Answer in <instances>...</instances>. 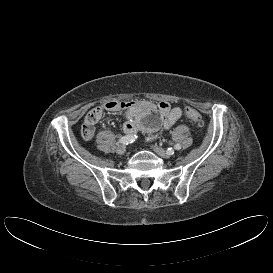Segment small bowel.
I'll return each mask as SVG.
<instances>
[{"mask_svg": "<svg viewBox=\"0 0 273 273\" xmlns=\"http://www.w3.org/2000/svg\"><path fill=\"white\" fill-rule=\"evenodd\" d=\"M108 112L122 114L125 120L124 131L127 134L133 135L137 131H142L147 134V140L156 138L182 117L181 108L173 107L165 101L153 104L145 100L128 102L110 100L92 108L87 113L81 129L84 140L94 137L96 124Z\"/></svg>", "mask_w": 273, "mask_h": 273, "instance_id": "small-bowel-1", "label": "small bowel"}]
</instances>
